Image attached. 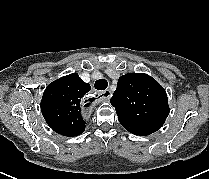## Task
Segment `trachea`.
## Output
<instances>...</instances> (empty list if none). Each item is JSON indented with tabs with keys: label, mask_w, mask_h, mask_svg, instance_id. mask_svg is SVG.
Instances as JSON below:
<instances>
[{
	"label": "trachea",
	"mask_w": 209,
	"mask_h": 179,
	"mask_svg": "<svg viewBox=\"0 0 209 179\" xmlns=\"http://www.w3.org/2000/svg\"><path fill=\"white\" fill-rule=\"evenodd\" d=\"M95 89L105 90L108 86V82L105 79H99L95 82Z\"/></svg>",
	"instance_id": "3493384b"
}]
</instances>
